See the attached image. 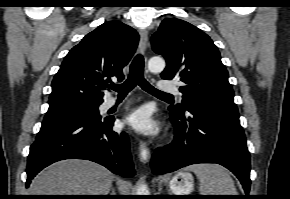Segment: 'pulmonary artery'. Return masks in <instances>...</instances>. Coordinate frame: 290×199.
<instances>
[{
	"label": "pulmonary artery",
	"mask_w": 290,
	"mask_h": 199,
	"mask_svg": "<svg viewBox=\"0 0 290 199\" xmlns=\"http://www.w3.org/2000/svg\"><path fill=\"white\" fill-rule=\"evenodd\" d=\"M158 89H159V91L164 92V93H177V94H180L178 92L177 86L173 82L160 81L158 83ZM117 103L118 102H117L116 98L109 97L104 102V108L105 109L111 108V107L117 105Z\"/></svg>",
	"instance_id": "pulmonary-artery-1"
}]
</instances>
